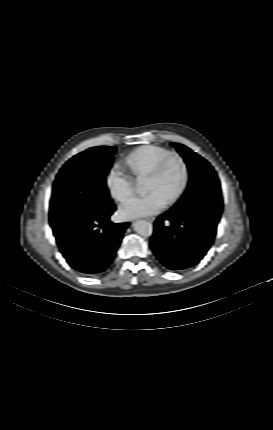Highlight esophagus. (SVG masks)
I'll list each match as a JSON object with an SVG mask.
<instances>
[{"instance_id": "obj_1", "label": "esophagus", "mask_w": 273, "mask_h": 430, "mask_svg": "<svg viewBox=\"0 0 273 430\" xmlns=\"http://www.w3.org/2000/svg\"><path fill=\"white\" fill-rule=\"evenodd\" d=\"M146 220H148L149 222H154L155 218L154 217H148V218H146Z\"/></svg>"}]
</instances>
